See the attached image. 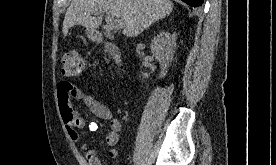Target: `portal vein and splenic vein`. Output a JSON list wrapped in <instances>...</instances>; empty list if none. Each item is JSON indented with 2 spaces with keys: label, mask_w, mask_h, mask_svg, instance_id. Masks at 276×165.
I'll list each match as a JSON object with an SVG mask.
<instances>
[{
  "label": "portal vein and splenic vein",
  "mask_w": 276,
  "mask_h": 165,
  "mask_svg": "<svg viewBox=\"0 0 276 165\" xmlns=\"http://www.w3.org/2000/svg\"><path fill=\"white\" fill-rule=\"evenodd\" d=\"M105 13H106V22L109 27L119 29L123 26L122 22L118 19H114V17L111 16L109 12H105ZM96 14L98 13H95V15Z\"/></svg>",
  "instance_id": "18ae733b"
}]
</instances>
